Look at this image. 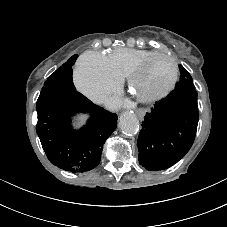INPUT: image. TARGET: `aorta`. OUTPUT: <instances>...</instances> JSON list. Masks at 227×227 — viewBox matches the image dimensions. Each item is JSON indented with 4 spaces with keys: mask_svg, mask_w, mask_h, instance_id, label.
Listing matches in <instances>:
<instances>
[{
    "mask_svg": "<svg viewBox=\"0 0 227 227\" xmlns=\"http://www.w3.org/2000/svg\"><path fill=\"white\" fill-rule=\"evenodd\" d=\"M119 127L124 134L134 135L139 130V120L133 112L126 111L119 118Z\"/></svg>",
    "mask_w": 227,
    "mask_h": 227,
    "instance_id": "aorta-1",
    "label": "aorta"
}]
</instances>
